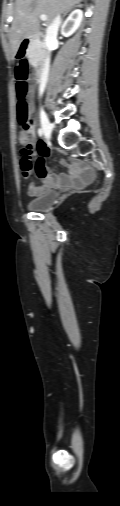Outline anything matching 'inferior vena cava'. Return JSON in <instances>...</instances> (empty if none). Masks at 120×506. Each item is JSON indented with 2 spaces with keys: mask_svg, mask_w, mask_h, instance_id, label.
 Masks as SVG:
<instances>
[{
  "mask_svg": "<svg viewBox=\"0 0 120 506\" xmlns=\"http://www.w3.org/2000/svg\"><path fill=\"white\" fill-rule=\"evenodd\" d=\"M60 24H61V18L59 15H57L55 17V19L53 20V22L46 29L45 44H46V47H47V50L49 53L52 51L53 45L57 40V34H58ZM49 65H50V55H48L46 57L45 62H44V66L42 69L41 83H40V87H39L40 95H42V93L45 89L46 80H47L48 72H49Z\"/></svg>",
  "mask_w": 120,
  "mask_h": 506,
  "instance_id": "obj_1",
  "label": "inferior vena cava"
}]
</instances>
